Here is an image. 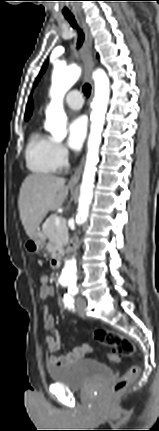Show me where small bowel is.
Here are the masks:
<instances>
[{
	"instance_id": "1",
	"label": "small bowel",
	"mask_w": 159,
	"mask_h": 431,
	"mask_svg": "<svg viewBox=\"0 0 159 431\" xmlns=\"http://www.w3.org/2000/svg\"><path fill=\"white\" fill-rule=\"evenodd\" d=\"M50 275L47 272L40 274V297L41 299L49 298L48 285L50 283ZM49 279V280H48ZM43 323L44 329L47 332L46 344L48 351L51 353L47 360L48 366H62L72 361L80 359L91 351V347L87 344H82L75 347L71 352L66 355L57 356L54 353L59 350L60 340L58 333L55 329L53 317L47 306L43 308Z\"/></svg>"
}]
</instances>
